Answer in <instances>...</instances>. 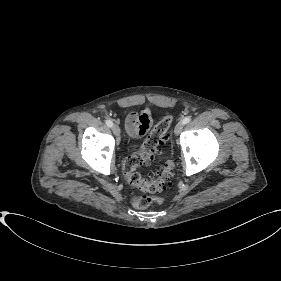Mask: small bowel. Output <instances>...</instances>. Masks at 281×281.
Masks as SVG:
<instances>
[{
	"label": "small bowel",
	"mask_w": 281,
	"mask_h": 281,
	"mask_svg": "<svg viewBox=\"0 0 281 281\" xmlns=\"http://www.w3.org/2000/svg\"><path fill=\"white\" fill-rule=\"evenodd\" d=\"M152 125L151 113L148 109L141 113L130 112L125 118V127L127 133L133 137H143Z\"/></svg>",
	"instance_id": "obj_1"
}]
</instances>
